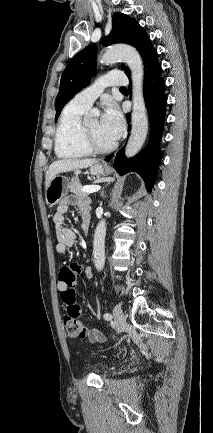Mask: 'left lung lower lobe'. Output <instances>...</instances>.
I'll return each instance as SVG.
<instances>
[{"label":"left lung lower lobe","mask_w":213,"mask_h":433,"mask_svg":"<svg viewBox=\"0 0 213 433\" xmlns=\"http://www.w3.org/2000/svg\"><path fill=\"white\" fill-rule=\"evenodd\" d=\"M143 64L145 71L143 94L150 120V139L145 149L131 159L125 157L124 146L114 158V168L120 175L132 171L137 172L145 181L146 189L151 192L156 179L157 168L162 158L159 143L165 121L166 96L165 82L161 75V66L154 48L146 54ZM129 90L131 91L130 87ZM127 120L129 123V114ZM112 157L113 155L108 156L106 161H109Z\"/></svg>","instance_id":"1"}]
</instances>
